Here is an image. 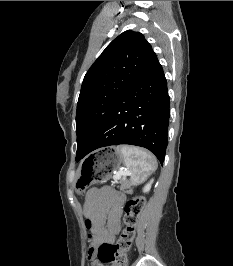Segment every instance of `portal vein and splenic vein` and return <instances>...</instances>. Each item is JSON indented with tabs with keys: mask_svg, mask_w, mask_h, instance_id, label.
Wrapping results in <instances>:
<instances>
[{
	"mask_svg": "<svg viewBox=\"0 0 233 266\" xmlns=\"http://www.w3.org/2000/svg\"><path fill=\"white\" fill-rule=\"evenodd\" d=\"M127 174H128L127 171H120V172H118V173L116 174L115 178H116V179H121V177H122L123 175H127Z\"/></svg>",
	"mask_w": 233,
	"mask_h": 266,
	"instance_id": "portal-vein-and-splenic-vein-1",
	"label": "portal vein and splenic vein"
}]
</instances>
